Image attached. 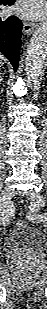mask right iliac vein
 I'll return each instance as SVG.
<instances>
[{
    "label": "right iliac vein",
    "instance_id": "obj_1",
    "mask_svg": "<svg viewBox=\"0 0 47 309\" xmlns=\"http://www.w3.org/2000/svg\"><path fill=\"white\" fill-rule=\"evenodd\" d=\"M14 195V190L12 188H5L1 192L0 196V220L3 225H7L9 223V216H8V205L11 198Z\"/></svg>",
    "mask_w": 47,
    "mask_h": 309
}]
</instances>
